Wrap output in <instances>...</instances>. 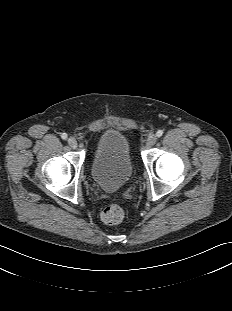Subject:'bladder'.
I'll use <instances>...</instances> for the list:
<instances>
[{
  "label": "bladder",
  "mask_w": 232,
  "mask_h": 311,
  "mask_svg": "<svg viewBox=\"0 0 232 311\" xmlns=\"http://www.w3.org/2000/svg\"><path fill=\"white\" fill-rule=\"evenodd\" d=\"M133 173L130 145L117 130L103 132L96 141L91 163L92 180L102 189L111 191L124 186Z\"/></svg>",
  "instance_id": "31cf9c89"
}]
</instances>
